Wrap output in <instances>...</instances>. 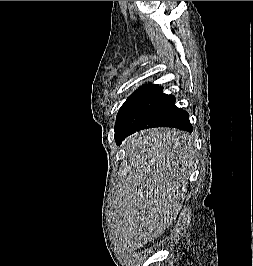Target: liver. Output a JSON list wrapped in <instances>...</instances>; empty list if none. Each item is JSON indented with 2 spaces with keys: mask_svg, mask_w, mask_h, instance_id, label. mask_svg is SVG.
Returning <instances> with one entry per match:
<instances>
[{
  "mask_svg": "<svg viewBox=\"0 0 253 266\" xmlns=\"http://www.w3.org/2000/svg\"><path fill=\"white\" fill-rule=\"evenodd\" d=\"M130 170L115 200L116 236L132 251L156 239L172 224L195 159L193 136L152 128L128 137Z\"/></svg>",
  "mask_w": 253,
  "mask_h": 266,
  "instance_id": "6515ba94",
  "label": "liver"
}]
</instances>
